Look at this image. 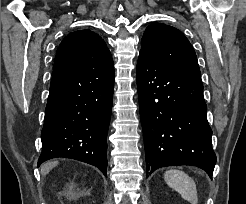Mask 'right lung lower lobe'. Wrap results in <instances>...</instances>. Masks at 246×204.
Wrapping results in <instances>:
<instances>
[{"label":"right lung lower lobe","instance_id":"obj_1","mask_svg":"<svg viewBox=\"0 0 246 204\" xmlns=\"http://www.w3.org/2000/svg\"><path fill=\"white\" fill-rule=\"evenodd\" d=\"M113 89L114 67L53 75L38 166L52 158H71L94 165L107 176Z\"/></svg>","mask_w":246,"mask_h":204}]
</instances>
